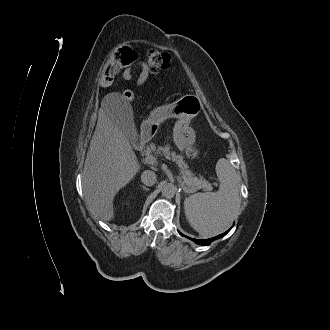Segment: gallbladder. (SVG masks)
I'll use <instances>...</instances> for the list:
<instances>
[{
  "label": "gallbladder",
  "mask_w": 330,
  "mask_h": 330,
  "mask_svg": "<svg viewBox=\"0 0 330 330\" xmlns=\"http://www.w3.org/2000/svg\"><path fill=\"white\" fill-rule=\"evenodd\" d=\"M115 115L119 120V126L123 129L129 139L136 133L133 119V110L128 102H121L114 107Z\"/></svg>",
  "instance_id": "gallbladder-1"
}]
</instances>
